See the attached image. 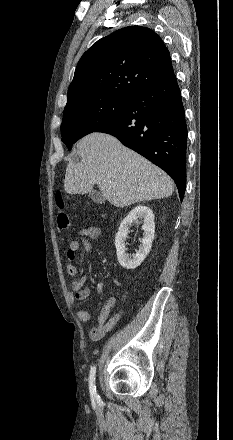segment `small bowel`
<instances>
[{
  "label": "small bowel",
  "instance_id": "c3829d8e",
  "mask_svg": "<svg viewBox=\"0 0 233 440\" xmlns=\"http://www.w3.org/2000/svg\"><path fill=\"white\" fill-rule=\"evenodd\" d=\"M99 235L100 229L96 226L89 225L83 227L69 243L66 268L68 274L73 278L69 285L71 301H84L90 295L89 288L85 286L88 275L80 274L78 272V269L74 264V259L81 244L83 245L85 254H89L92 251L91 241L98 238ZM104 286L105 284L102 282L97 285L98 293L103 292ZM122 298L125 300L126 295L124 294ZM115 305L116 299L114 297H108L106 299L94 327L89 330V337L91 339L98 340L114 328L122 314V311H119L112 317H109V314ZM77 314L79 319L83 322H88L92 318L91 314L85 309H80Z\"/></svg>",
  "mask_w": 233,
  "mask_h": 440
}]
</instances>
